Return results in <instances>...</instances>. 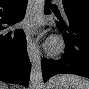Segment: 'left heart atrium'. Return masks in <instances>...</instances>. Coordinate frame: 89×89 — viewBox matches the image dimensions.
I'll list each match as a JSON object with an SVG mask.
<instances>
[{"label":"left heart atrium","instance_id":"left-heart-atrium-1","mask_svg":"<svg viewBox=\"0 0 89 89\" xmlns=\"http://www.w3.org/2000/svg\"><path fill=\"white\" fill-rule=\"evenodd\" d=\"M37 24V19L34 16L27 17L26 20L23 23V26L26 29H32L36 26Z\"/></svg>","mask_w":89,"mask_h":89}]
</instances>
